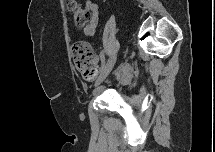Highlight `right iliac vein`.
Returning a JSON list of instances; mask_svg holds the SVG:
<instances>
[{
	"label": "right iliac vein",
	"mask_w": 215,
	"mask_h": 152,
	"mask_svg": "<svg viewBox=\"0 0 215 152\" xmlns=\"http://www.w3.org/2000/svg\"><path fill=\"white\" fill-rule=\"evenodd\" d=\"M116 62V56L111 57L107 64L105 65L104 69L102 70L101 74L96 80L95 88H98V86L105 80V78L109 75V73L112 71L114 65Z\"/></svg>",
	"instance_id": "obj_1"
}]
</instances>
